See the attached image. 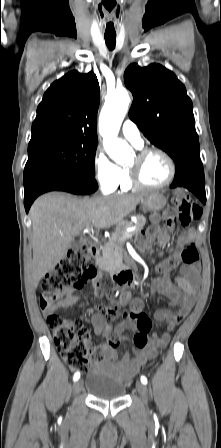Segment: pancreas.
Here are the masks:
<instances>
[{
    "label": "pancreas",
    "instance_id": "pancreas-1",
    "mask_svg": "<svg viewBox=\"0 0 221 448\" xmlns=\"http://www.w3.org/2000/svg\"><path fill=\"white\" fill-rule=\"evenodd\" d=\"M145 222L146 220L143 216H137V228L135 231L130 232L131 236L129 238L137 234L144 227ZM124 235L125 232L123 231L113 233L110 242L102 247V256L98 261V265L102 270L114 273L120 269L125 257L124 245L126 239L123 238Z\"/></svg>",
    "mask_w": 221,
    "mask_h": 448
}]
</instances>
